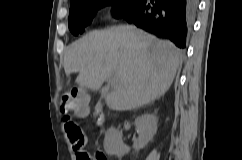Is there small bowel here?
I'll return each mask as SVG.
<instances>
[{
	"instance_id": "obj_1",
	"label": "small bowel",
	"mask_w": 242,
	"mask_h": 160,
	"mask_svg": "<svg viewBox=\"0 0 242 160\" xmlns=\"http://www.w3.org/2000/svg\"><path fill=\"white\" fill-rule=\"evenodd\" d=\"M88 108L84 111V112H76V115L77 116H79V117H84V116H87L88 115ZM73 149H74V151H75V154H76V160H81L80 159V155L82 154V153H84L85 151L82 149V147L81 148H79V147H77L75 144H73Z\"/></svg>"
}]
</instances>
